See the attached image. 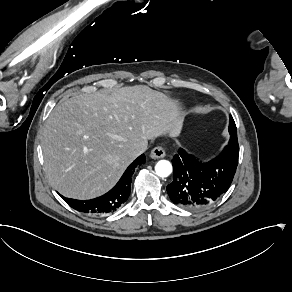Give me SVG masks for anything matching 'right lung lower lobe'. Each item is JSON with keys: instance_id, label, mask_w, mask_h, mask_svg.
Returning a JSON list of instances; mask_svg holds the SVG:
<instances>
[{"instance_id": "right-lung-lower-lobe-1", "label": "right lung lower lobe", "mask_w": 292, "mask_h": 292, "mask_svg": "<svg viewBox=\"0 0 292 292\" xmlns=\"http://www.w3.org/2000/svg\"><path fill=\"white\" fill-rule=\"evenodd\" d=\"M145 161L146 158L144 154L139 156L126 169L119 182L109 192L100 197L90 200H76L59 195L68 205L83 213L104 214L113 212L127 201L131 190V176L135 168L140 164H144Z\"/></svg>"}]
</instances>
